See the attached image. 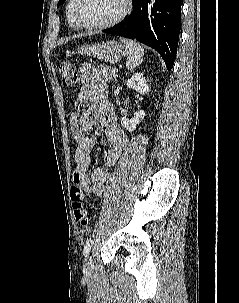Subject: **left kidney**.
Returning a JSON list of instances; mask_svg holds the SVG:
<instances>
[{
	"label": "left kidney",
	"mask_w": 239,
	"mask_h": 303,
	"mask_svg": "<svg viewBox=\"0 0 239 303\" xmlns=\"http://www.w3.org/2000/svg\"><path fill=\"white\" fill-rule=\"evenodd\" d=\"M127 87L136 90L139 94L144 95L148 93L149 86L146 82L145 77L143 76V73H135L128 81H127ZM145 112L143 110H140L135 113L134 117L131 119H128L126 117L121 118V125H123L126 130L129 132H132L135 130L136 126L144 119Z\"/></svg>",
	"instance_id": "5707ae66"
}]
</instances>
